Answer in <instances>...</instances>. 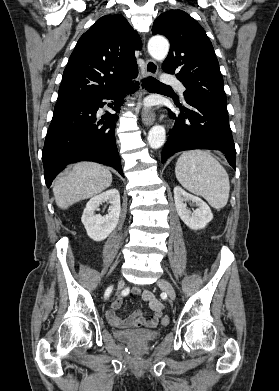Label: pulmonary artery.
<instances>
[{
  "instance_id": "pulmonary-artery-1",
  "label": "pulmonary artery",
  "mask_w": 279,
  "mask_h": 391,
  "mask_svg": "<svg viewBox=\"0 0 279 391\" xmlns=\"http://www.w3.org/2000/svg\"><path fill=\"white\" fill-rule=\"evenodd\" d=\"M162 81L167 84H171L176 86L178 91L183 94L185 91V87L182 83H180L175 77L169 75V74H163L162 75Z\"/></svg>"
}]
</instances>
